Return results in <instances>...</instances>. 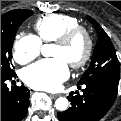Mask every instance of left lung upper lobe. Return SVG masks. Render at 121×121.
I'll return each mask as SVG.
<instances>
[{
    "label": "left lung upper lobe",
    "instance_id": "1",
    "mask_svg": "<svg viewBox=\"0 0 121 121\" xmlns=\"http://www.w3.org/2000/svg\"><path fill=\"white\" fill-rule=\"evenodd\" d=\"M87 19L94 25L98 34V41L94 48L91 64L84 72L78 85L93 81H103L118 85L120 79V64L115 48L102 27L90 16Z\"/></svg>",
    "mask_w": 121,
    "mask_h": 121
}]
</instances>
